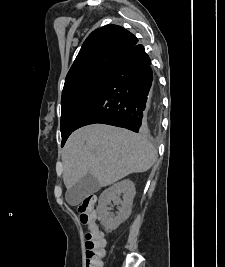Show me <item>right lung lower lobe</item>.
<instances>
[{
  "mask_svg": "<svg viewBox=\"0 0 225 267\" xmlns=\"http://www.w3.org/2000/svg\"><path fill=\"white\" fill-rule=\"evenodd\" d=\"M154 88L151 60L143 45L136 44L118 57L74 130L102 123L142 131L143 112Z\"/></svg>",
  "mask_w": 225,
  "mask_h": 267,
  "instance_id": "1",
  "label": "right lung lower lobe"
}]
</instances>
